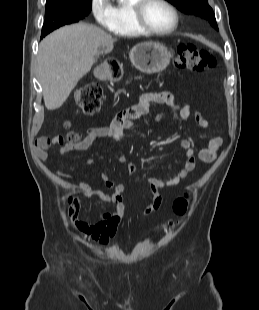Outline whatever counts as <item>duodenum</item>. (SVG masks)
I'll return each instance as SVG.
<instances>
[{"instance_id":"410a0bca","label":"duodenum","mask_w":259,"mask_h":310,"mask_svg":"<svg viewBox=\"0 0 259 310\" xmlns=\"http://www.w3.org/2000/svg\"><path fill=\"white\" fill-rule=\"evenodd\" d=\"M121 74V68L116 64L115 61H111L106 65V71L104 76L107 78H118Z\"/></svg>"}]
</instances>
